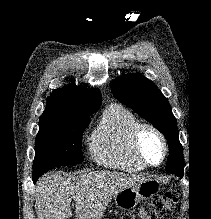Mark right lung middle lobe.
Here are the masks:
<instances>
[{"label": "right lung middle lobe", "instance_id": "dd1d6c3e", "mask_svg": "<svg viewBox=\"0 0 211 219\" xmlns=\"http://www.w3.org/2000/svg\"><path fill=\"white\" fill-rule=\"evenodd\" d=\"M89 115L49 116L42 114L35 139L33 181L44 172L61 165L83 161L81 140L90 123Z\"/></svg>", "mask_w": 211, "mask_h": 219}]
</instances>
